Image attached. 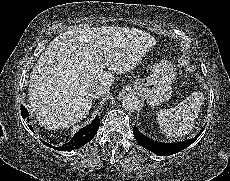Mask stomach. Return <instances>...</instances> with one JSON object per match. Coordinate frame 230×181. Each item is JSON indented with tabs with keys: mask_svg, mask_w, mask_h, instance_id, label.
<instances>
[{
	"mask_svg": "<svg viewBox=\"0 0 230 181\" xmlns=\"http://www.w3.org/2000/svg\"><path fill=\"white\" fill-rule=\"evenodd\" d=\"M175 75L173 65L169 61H163L150 76L137 80L132 88L145 96L148 105L155 107L170 98Z\"/></svg>",
	"mask_w": 230,
	"mask_h": 181,
	"instance_id": "stomach-1",
	"label": "stomach"
}]
</instances>
